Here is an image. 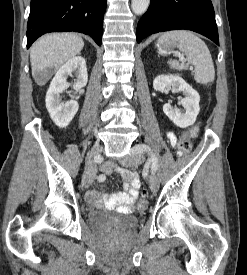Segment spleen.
Masks as SVG:
<instances>
[{"label": "spleen", "mask_w": 247, "mask_h": 275, "mask_svg": "<svg viewBox=\"0 0 247 275\" xmlns=\"http://www.w3.org/2000/svg\"><path fill=\"white\" fill-rule=\"evenodd\" d=\"M168 40L178 41L179 50L186 55L188 63L195 67L194 78L198 83L207 84L214 80L215 69L212 57L204 41L187 30L166 32L160 37L158 43L162 45ZM168 64L180 67L176 60H169Z\"/></svg>", "instance_id": "1"}]
</instances>
